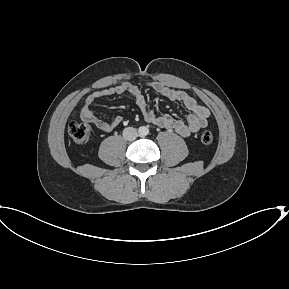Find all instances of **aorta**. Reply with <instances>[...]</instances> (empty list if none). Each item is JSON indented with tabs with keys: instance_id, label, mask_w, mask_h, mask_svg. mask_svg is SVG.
Wrapping results in <instances>:
<instances>
[{
	"instance_id": "aorta-1",
	"label": "aorta",
	"mask_w": 289,
	"mask_h": 289,
	"mask_svg": "<svg viewBox=\"0 0 289 289\" xmlns=\"http://www.w3.org/2000/svg\"><path fill=\"white\" fill-rule=\"evenodd\" d=\"M148 133H149V129L147 127L142 126L139 128V134L141 136H146V135H148Z\"/></svg>"
}]
</instances>
